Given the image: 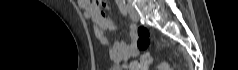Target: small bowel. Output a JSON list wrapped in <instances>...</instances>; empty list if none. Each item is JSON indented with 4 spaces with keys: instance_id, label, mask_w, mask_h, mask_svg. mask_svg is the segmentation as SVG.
I'll return each mask as SVG.
<instances>
[{
    "instance_id": "small-bowel-1",
    "label": "small bowel",
    "mask_w": 238,
    "mask_h": 70,
    "mask_svg": "<svg viewBox=\"0 0 238 70\" xmlns=\"http://www.w3.org/2000/svg\"><path fill=\"white\" fill-rule=\"evenodd\" d=\"M79 7L83 10L86 18L91 19L95 26L96 36L102 45L108 46L109 39L106 36L107 32L116 31L117 26L114 22L103 12L101 3H94L87 0H78ZM128 35L131 39L130 44L124 41H116L109 49V56L118 67L125 63L128 59L139 54L137 46V30L135 26H130ZM126 67V65H124Z\"/></svg>"
}]
</instances>
